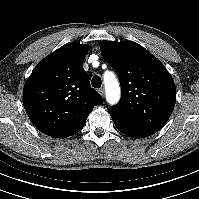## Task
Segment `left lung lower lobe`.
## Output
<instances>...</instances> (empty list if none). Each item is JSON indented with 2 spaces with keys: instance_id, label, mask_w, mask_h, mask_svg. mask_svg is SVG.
<instances>
[{
  "instance_id": "1",
  "label": "left lung lower lobe",
  "mask_w": 199,
  "mask_h": 199,
  "mask_svg": "<svg viewBox=\"0 0 199 199\" xmlns=\"http://www.w3.org/2000/svg\"><path fill=\"white\" fill-rule=\"evenodd\" d=\"M110 115L117 129L127 136H130L132 138H144L154 134L139 127H136L114 114L110 113Z\"/></svg>"
}]
</instances>
